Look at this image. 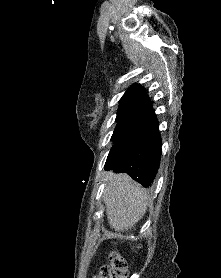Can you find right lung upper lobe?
I'll use <instances>...</instances> for the list:
<instances>
[{
	"instance_id": "cb5924a9",
	"label": "right lung upper lobe",
	"mask_w": 221,
	"mask_h": 278,
	"mask_svg": "<svg viewBox=\"0 0 221 278\" xmlns=\"http://www.w3.org/2000/svg\"><path fill=\"white\" fill-rule=\"evenodd\" d=\"M149 97L146 94L145 88L139 84L132 85L120 100V108L132 105H148Z\"/></svg>"
}]
</instances>
